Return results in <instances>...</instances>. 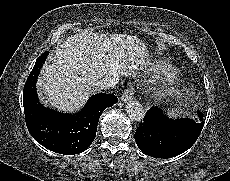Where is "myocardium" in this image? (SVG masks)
Returning <instances> with one entry per match:
<instances>
[{
	"mask_svg": "<svg viewBox=\"0 0 230 181\" xmlns=\"http://www.w3.org/2000/svg\"><path fill=\"white\" fill-rule=\"evenodd\" d=\"M183 91L181 79L174 77L163 85L160 90V94L163 97L171 98L178 96Z\"/></svg>",
	"mask_w": 230,
	"mask_h": 181,
	"instance_id": "obj_1",
	"label": "myocardium"
}]
</instances>
